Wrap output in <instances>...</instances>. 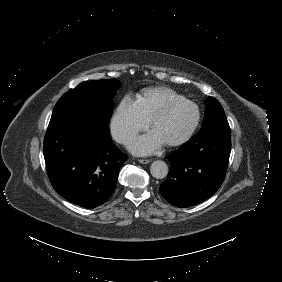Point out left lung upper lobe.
Instances as JSON below:
<instances>
[{
    "label": "left lung upper lobe",
    "instance_id": "1",
    "mask_svg": "<svg viewBox=\"0 0 282 282\" xmlns=\"http://www.w3.org/2000/svg\"><path fill=\"white\" fill-rule=\"evenodd\" d=\"M206 110L202 127L221 121H227L221 104L213 97L205 100Z\"/></svg>",
    "mask_w": 282,
    "mask_h": 282
}]
</instances>
